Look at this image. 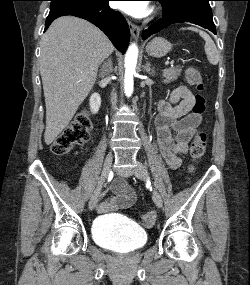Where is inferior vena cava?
Masks as SVG:
<instances>
[{
	"label": "inferior vena cava",
	"instance_id": "inferior-vena-cava-1",
	"mask_svg": "<svg viewBox=\"0 0 250 285\" xmlns=\"http://www.w3.org/2000/svg\"><path fill=\"white\" fill-rule=\"evenodd\" d=\"M111 102H112V105L114 106L117 102V96L115 93H112L111 95Z\"/></svg>",
	"mask_w": 250,
	"mask_h": 285
}]
</instances>
